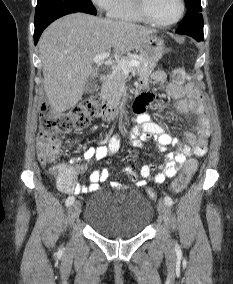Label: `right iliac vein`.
<instances>
[{"label":"right iliac vein","instance_id":"63e3f726","mask_svg":"<svg viewBox=\"0 0 233 284\" xmlns=\"http://www.w3.org/2000/svg\"><path fill=\"white\" fill-rule=\"evenodd\" d=\"M80 211H81V205L79 202H75L70 206L68 210V214H69L71 223H73L75 219L79 216Z\"/></svg>","mask_w":233,"mask_h":284}]
</instances>
